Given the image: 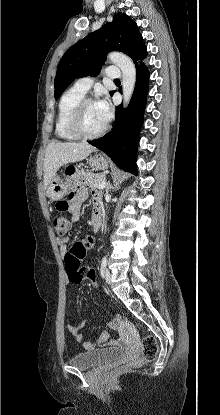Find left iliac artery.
Segmentation results:
<instances>
[{"label": "left iliac artery", "mask_w": 220, "mask_h": 415, "mask_svg": "<svg viewBox=\"0 0 220 415\" xmlns=\"http://www.w3.org/2000/svg\"><path fill=\"white\" fill-rule=\"evenodd\" d=\"M107 265V258L106 256L103 257L102 262H101V269H105Z\"/></svg>", "instance_id": "44dca946"}]
</instances>
